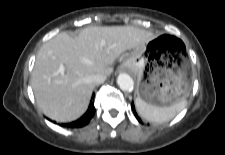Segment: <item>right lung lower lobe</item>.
I'll return each instance as SVG.
<instances>
[{"label": "right lung lower lobe", "instance_id": "98d812e1", "mask_svg": "<svg viewBox=\"0 0 225 155\" xmlns=\"http://www.w3.org/2000/svg\"><path fill=\"white\" fill-rule=\"evenodd\" d=\"M94 114H95V107L91 101L88 111L80 119L69 124H62V126H68L72 128L83 127L89 123L90 119L94 116Z\"/></svg>", "mask_w": 225, "mask_h": 155}]
</instances>
